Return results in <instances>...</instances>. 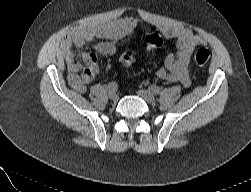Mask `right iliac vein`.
Instances as JSON below:
<instances>
[{
	"mask_svg": "<svg viewBox=\"0 0 251 192\" xmlns=\"http://www.w3.org/2000/svg\"><path fill=\"white\" fill-rule=\"evenodd\" d=\"M109 98L114 100V101H117L118 100V95L116 94L115 91H110L109 92Z\"/></svg>",
	"mask_w": 251,
	"mask_h": 192,
	"instance_id": "63e3f726",
	"label": "right iliac vein"
}]
</instances>
